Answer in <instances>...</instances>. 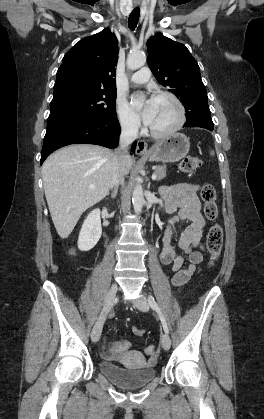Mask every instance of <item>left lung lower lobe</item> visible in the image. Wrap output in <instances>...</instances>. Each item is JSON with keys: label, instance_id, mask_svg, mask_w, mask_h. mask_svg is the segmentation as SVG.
I'll return each mask as SVG.
<instances>
[{"label": "left lung lower lobe", "instance_id": "left-lung-lower-lobe-1", "mask_svg": "<svg viewBox=\"0 0 264 419\" xmlns=\"http://www.w3.org/2000/svg\"><path fill=\"white\" fill-rule=\"evenodd\" d=\"M187 121L183 127H202L213 130V122L208 104H205L199 111L186 112Z\"/></svg>", "mask_w": 264, "mask_h": 419}]
</instances>
